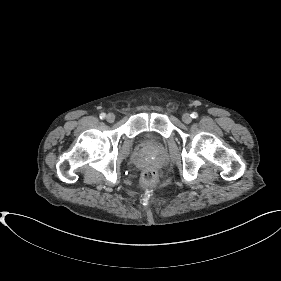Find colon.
<instances>
[{"instance_id":"1","label":"colon","mask_w":281,"mask_h":281,"mask_svg":"<svg viewBox=\"0 0 281 281\" xmlns=\"http://www.w3.org/2000/svg\"><path fill=\"white\" fill-rule=\"evenodd\" d=\"M157 179V174L153 169H148L142 174V184L145 187L154 185Z\"/></svg>"}]
</instances>
